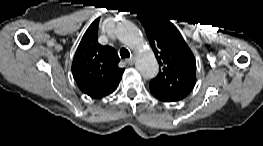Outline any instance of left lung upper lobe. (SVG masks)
Wrapping results in <instances>:
<instances>
[{"mask_svg":"<svg viewBox=\"0 0 263 146\" xmlns=\"http://www.w3.org/2000/svg\"><path fill=\"white\" fill-rule=\"evenodd\" d=\"M142 24L161 66L160 73L150 81V86L173 101L182 100L196 83L194 55L172 23L142 21Z\"/></svg>","mask_w":263,"mask_h":146,"instance_id":"5c2ea615","label":"left lung upper lobe"}]
</instances>
